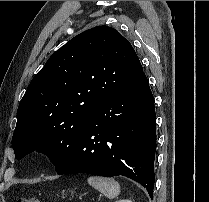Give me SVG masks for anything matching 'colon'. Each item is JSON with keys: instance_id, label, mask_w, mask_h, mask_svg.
<instances>
[{"instance_id": "5ec220e1", "label": "colon", "mask_w": 209, "mask_h": 202, "mask_svg": "<svg viewBox=\"0 0 209 202\" xmlns=\"http://www.w3.org/2000/svg\"><path fill=\"white\" fill-rule=\"evenodd\" d=\"M16 202H40L37 198L29 197V198H21Z\"/></svg>"}]
</instances>
